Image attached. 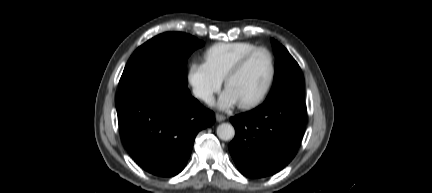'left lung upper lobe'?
I'll return each mask as SVG.
<instances>
[{"instance_id": "1", "label": "left lung upper lobe", "mask_w": 432, "mask_h": 193, "mask_svg": "<svg viewBox=\"0 0 432 193\" xmlns=\"http://www.w3.org/2000/svg\"><path fill=\"white\" fill-rule=\"evenodd\" d=\"M276 55L273 87L266 101L274 99L304 102V78L301 69L285 47L272 39Z\"/></svg>"}]
</instances>
